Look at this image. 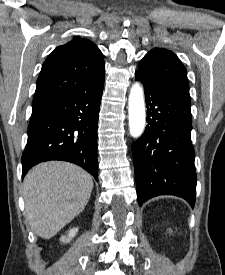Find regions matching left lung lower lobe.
Masks as SVG:
<instances>
[{
  "instance_id": "obj_1",
  "label": "left lung lower lobe",
  "mask_w": 225,
  "mask_h": 275,
  "mask_svg": "<svg viewBox=\"0 0 225 275\" xmlns=\"http://www.w3.org/2000/svg\"><path fill=\"white\" fill-rule=\"evenodd\" d=\"M147 107L144 134L132 143L137 199L143 202L158 195H176L194 207L196 171L191 142V103L144 79Z\"/></svg>"
}]
</instances>
